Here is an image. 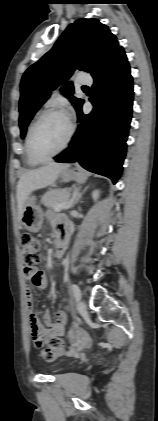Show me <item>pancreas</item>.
Listing matches in <instances>:
<instances>
[{"label": "pancreas", "mask_w": 158, "mask_h": 421, "mask_svg": "<svg viewBox=\"0 0 158 421\" xmlns=\"http://www.w3.org/2000/svg\"><path fill=\"white\" fill-rule=\"evenodd\" d=\"M69 190H50L41 199L42 204L51 209H56L57 206L63 205L69 199Z\"/></svg>", "instance_id": "pancreas-1"}]
</instances>
